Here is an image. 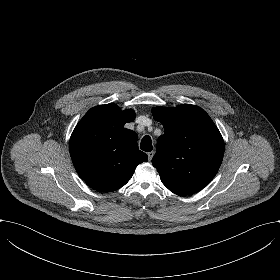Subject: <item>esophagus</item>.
<instances>
[{
  "instance_id": "34e87169",
  "label": "esophagus",
  "mask_w": 280,
  "mask_h": 280,
  "mask_svg": "<svg viewBox=\"0 0 280 280\" xmlns=\"http://www.w3.org/2000/svg\"><path fill=\"white\" fill-rule=\"evenodd\" d=\"M147 155H148V160L151 161L152 157L154 156V151L148 152Z\"/></svg>"
}]
</instances>
